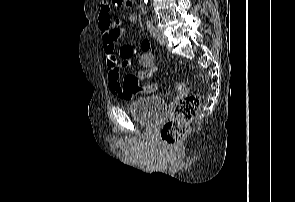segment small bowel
I'll use <instances>...</instances> for the list:
<instances>
[{
  "label": "small bowel",
  "mask_w": 295,
  "mask_h": 202,
  "mask_svg": "<svg viewBox=\"0 0 295 202\" xmlns=\"http://www.w3.org/2000/svg\"><path fill=\"white\" fill-rule=\"evenodd\" d=\"M129 20L134 21L135 15H130ZM98 26L102 48L106 54L107 67L109 69L108 79L110 91L125 100L154 92L155 90H125L122 87L120 81L121 67L128 65L136 53V49L130 45H121L116 51V42L125 35L126 29L118 19L114 20L112 18V6L109 0H101L100 2ZM149 47V41L137 43V48H140L142 52H147L146 50ZM133 75L136 79H143V81L152 77L151 75ZM180 98H189V93H180ZM170 107H179V102H170Z\"/></svg>",
  "instance_id": "small-bowel-1"
}]
</instances>
